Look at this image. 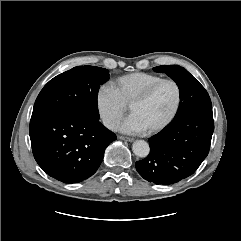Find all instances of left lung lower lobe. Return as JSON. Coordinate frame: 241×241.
I'll return each mask as SVG.
<instances>
[{
	"label": "left lung lower lobe",
	"mask_w": 241,
	"mask_h": 241,
	"mask_svg": "<svg viewBox=\"0 0 241 241\" xmlns=\"http://www.w3.org/2000/svg\"><path fill=\"white\" fill-rule=\"evenodd\" d=\"M214 122L212 109L169 123L149 138V155L136 162L147 181L169 185L192 175L208 155Z\"/></svg>",
	"instance_id": "0a47b994"
}]
</instances>
